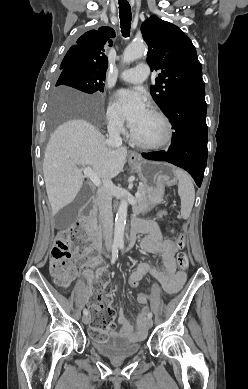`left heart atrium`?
<instances>
[{
    "instance_id": "left-heart-atrium-1",
    "label": "left heart atrium",
    "mask_w": 248,
    "mask_h": 389,
    "mask_svg": "<svg viewBox=\"0 0 248 389\" xmlns=\"http://www.w3.org/2000/svg\"><path fill=\"white\" fill-rule=\"evenodd\" d=\"M117 106L132 129L147 112L144 96L137 90L121 89L116 92Z\"/></svg>"
}]
</instances>
